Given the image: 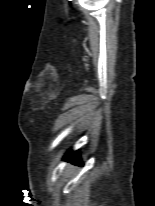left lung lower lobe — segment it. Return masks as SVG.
I'll list each match as a JSON object with an SVG mask.
<instances>
[{"mask_svg":"<svg viewBox=\"0 0 155 206\" xmlns=\"http://www.w3.org/2000/svg\"><path fill=\"white\" fill-rule=\"evenodd\" d=\"M66 159L68 161H71L75 164H80V159H79V153L78 151L72 152V151H68L65 155Z\"/></svg>","mask_w":155,"mask_h":206,"instance_id":"obj_1","label":"left lung lower lobe"}]
</instances>
